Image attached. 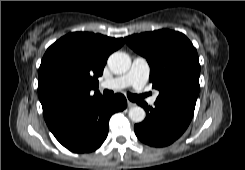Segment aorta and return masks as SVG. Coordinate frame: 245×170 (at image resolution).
I'll use <instances>...</instances> for the list:
<instances>
[{"instance_id":"1","label":"aorta","mask_w":245,"mask_h":170,"mask_svg":"<svg viewBox=\"0 0 245 170\" xmlns=\"http://www.w3.org/2000/svg\"><path fill=\"white\" fill-rule=\"evenodd\" d=\"M108 66L113 73L123 74L129 70L131 59L128 54L117 51L109 56ZM128 115L135 123H140L145 119V111L139 106L130 108Z\"/></svg>"}]
</instances>
